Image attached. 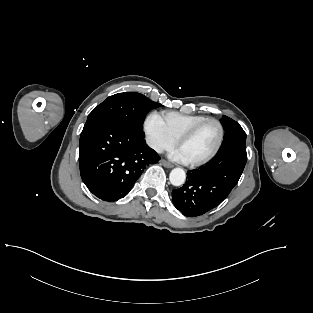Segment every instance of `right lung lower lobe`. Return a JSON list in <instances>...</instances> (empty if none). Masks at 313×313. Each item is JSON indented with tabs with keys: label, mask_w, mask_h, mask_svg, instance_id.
Segmentation results:
<instances>
[{
	"label": "right lung lower lobe",
	"mask_w": 313,
	"mask_h": 313,
	"mask_svg": "<svg viewBox=\"0 0 313 313\" xmlns=\"http://www.w3.org/2000/svg\"><path fill=\"white\" fill-rule=\"evenodd\" d=\"M144 137L112 119L85 124L79 143L80 174L96 197L108 202L125 197L145 167L160 160Z\"/></svg>",
	"instance_id": "1"
}]
</instances>
